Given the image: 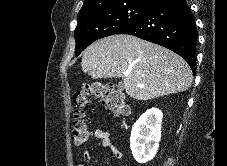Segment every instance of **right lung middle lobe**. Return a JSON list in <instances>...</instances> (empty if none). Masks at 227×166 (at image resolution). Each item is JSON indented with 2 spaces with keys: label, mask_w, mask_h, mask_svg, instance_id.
<instances>
[{
  "label": "right lung middle lobe",
  "mask_w": 227,
  "mask_h": 166,
  "mask_svg": "<svg viewBox=\"0 0 227 166\" xmlns=\"http://www.w3.org/2000/svg\"><path fill=\"white\" fill-rule=\"evenodd\" d=\"M151 8L150 5L132 2L78 14V25L74 32L76 56L94 41L118 34Z\"/></svg>",
  "instance_id": "dd1d6c3e"
}]
</instances>
